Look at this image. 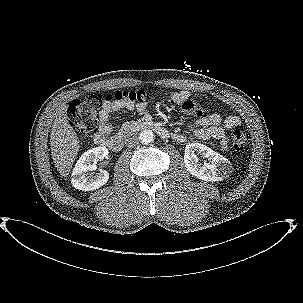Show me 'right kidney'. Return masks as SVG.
Wrapping results in <instances>:
<instances>
[{
  "mask_svg": "<svg viewBox=\"0 0 303 303\" xmlns=\"http://www.w3.org/2000/svg\"><path fill=\"white\" fill-rule=\"evenodd\" d=\"M107 155V148L102 146L84 152L72 171V186L82 191H92L105 185L109 179L107 171L100 169L96 175H89L88 172L96 170L97 161Z\"/></svg>",
  "mask_w": 303,
  "mask_h": 303,
  "instance_id": "right-kidney-1",
  "label": "right kidney"
}]
</instances>
